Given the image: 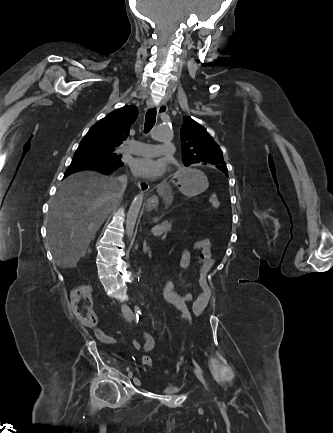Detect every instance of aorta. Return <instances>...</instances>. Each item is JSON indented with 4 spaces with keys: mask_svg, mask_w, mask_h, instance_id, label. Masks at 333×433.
Wrapping results in <instances>:
<instances>
[{
    "mask_svg": "<svg viewBox=\"0 0 333 433\" xmlns=\"http://www.w3.org/2000/svg\"><path fill=\"white\" fill-rule=\"evenodd\" d=\"M151 137L156 142L169 143L173 140V132L170 126L159 125L152 129ZM143 199L144 193L140 192L134 198L128 210L126 219V234L129 240L133 238L136 220L142 206Z\"/></svg>",
    "mask_w": 333,
    "mask_h": 433,
    "instance_id": "762f6f07",
    "label": "aorta"
}]
</instances>
